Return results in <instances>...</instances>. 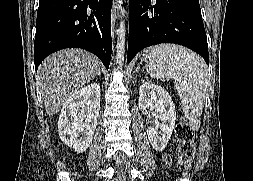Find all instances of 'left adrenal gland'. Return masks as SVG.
<instances>
[{
  "label": "left adrenal gland",
  "instance_id": "1",
  "mask_svg": "<svg viewBox=\"0 0 253 181\" xmlns=\"http://www.w3.org/2000/svg\"><path fill=\"white\" fill-rule=\"evenodd\" d=\"M139 70H140L139 68H136V70H135V71H136V72H138Z\"/></svg>",
  "mask_w": 253,
  "mask_h": 181
}]
</instances>
